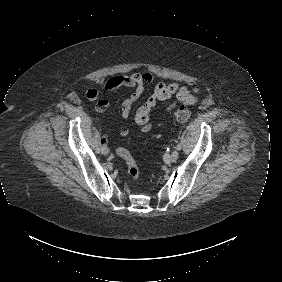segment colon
<instances>
[{"instance_id":"colon-1","label":"colon","mask_w":282,"mask_h":282,"mask_svg":"<svg viewBox=\"0 0 282 282\" xmlns=\"http://www.w3.org/2000/svg\"><path fill=\"white\" fill-rule=\"evenodd\" d=\"M188 117L189 111L183 106L176 108L173 112V118L177 121H186ZM116 154L125 161L130 178L138 179L140 177V168L132 152L121 147L116 149Z\"/></svg>"}]
</instances>
